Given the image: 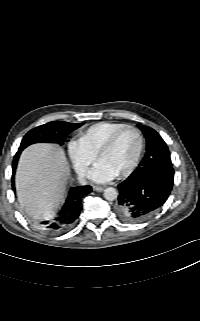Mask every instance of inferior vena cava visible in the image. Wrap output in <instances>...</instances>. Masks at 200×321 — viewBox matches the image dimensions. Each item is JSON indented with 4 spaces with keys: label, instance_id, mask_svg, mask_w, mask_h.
Returning <instances> with one entry per match:
<instances>
[{
    "label": "inferior vena cava",
    "instance_id": "602c4592",
    "mask_svg": "<svg viewBox=\"0 0 200 321\" xmlns=\"http://www.w3.org/2000/svg\"><path fill=\"white\" fill-rule=\"evenodd\" d=\"M86 172H87L86 169H80L78 171V177L81 184H86V180H85Z\"/></svg>",
    "mask_w": 200,
    "mask_h": 321
}]
</instances>
